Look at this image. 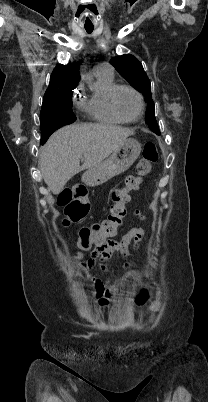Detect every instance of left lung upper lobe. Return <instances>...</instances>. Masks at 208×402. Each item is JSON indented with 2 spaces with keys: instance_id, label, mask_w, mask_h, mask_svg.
<instances>
[{
  "instance_id": "left-lung-upper-lobe-1",
  "label": "left lung upper lobe",
  "mask_w": 208,
  "mask_h": 402,
  "mask_svg": "<svg viewBox=\"0 0 208 402\" xmlns=\"http://www.w3.org/2000/svg\"><path fill=\"white\" fill-rule=\"evenodd\" d=\"M110 63L122 77L143 93L145 101L148 103L147 124L151 131L160 135L159 127L154 115L151 84L141 62L133 55L124 54L112 58Z\"/></svg>"
}]
</instances>
